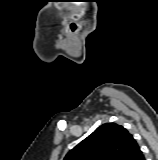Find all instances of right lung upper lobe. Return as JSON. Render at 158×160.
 Returning a JSON list of instances; mask_svg holds the SVG:
<instances>
[{"instance_id":"obj_1","label":"right lung upper lobe","mask_w":158,"mask_h":160,"mask_svg":"<svg viewBox=\"0 0 158 160\" xmlns=\"http://www.w3.org/2000/svg\"><path fill=\"white\" fill-rule=\"evenodd\" d=\"M141 153L123 126L106 123L69 151L64 160H136Z\"/></svg>"}]
</instances>
